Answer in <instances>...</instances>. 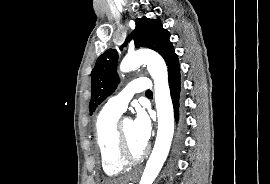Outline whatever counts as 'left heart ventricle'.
<instances>
[{
  "mask_svg": "<svg viewBox=\"0 0 270 184\" xmlns=\"http://www.w3.org/2000/svg\"><path fill=\"white\" fill-rule=\"evenodd\" d=\"M123 130L131 151L134 154L140 153L144 149L146 144L140 141L139 138L137 137L133 121L130 119H125L123 121Z\"/></svg>",
  "mask_w": 270,
  "mask_h": 184,
  "instance_id": "b2bd125f",
  "label": "left heart ventricle"
}]
</instances>
